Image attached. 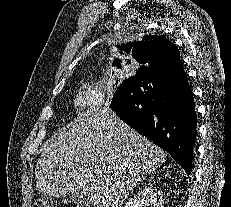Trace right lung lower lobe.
I'll list each match as a JSON object with an SVG mask.
<instances>
[{"instance_id": "right-lung-lower-lobe-1", "label": "right lung lower lobe", "mask_w": 231, "mask_h": 207, "mask_svg": "<svg viewBox=\"0 0 231 207\" xmlns=\"http://www.w3.org/2000/svg\"><path fill=\"white\" fill-rule=\"evenodd\" d=\"M110 107L190 174L197 116L182 64L174 69L160 65L140 67L135 76L119 86Z\"/></svg>"}]
</instances>
